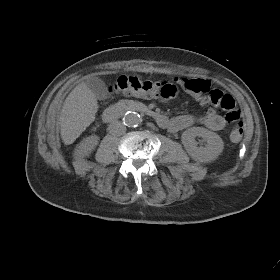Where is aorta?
<instances>
[{
	"instance_id": "obj_1",
	"label": "aorta",
	"mask_w": 280,
	"mask_h": 280,
	"mask_svg": "<svg viewBox=\"0 0 280 280\" xmlns=\"http://www.w3.org/2000/svg\"><path fill=\"white\" fill-rule=\"evenodd\" d=\"M122 121L128 127H136L141 123L142 119L138 113L129 111L124 114Z\"/></svg>"
}]
</instances>
